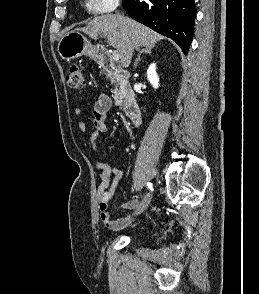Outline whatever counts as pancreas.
Returning <instances> with one entry per match:
<instances>
[{
  "instance_id": "obj_1",
  "label": "pancreas",
  "mask_w": 259,
  "mask_h": 294,
  "mask_svg": "<svg viewBox=\"0 0 259 294\" xmlns=\"http://www.w3.org/2000/svg\"><path fill=\"white\" fill-rule=\"evenodd\" d=\"M123 90H124V88L122 86H120V83H117L115 85L113 93H114V99H115L117 105H121V103H122L121 99L123 96Z\"/></svg>"
}]
</instances>
